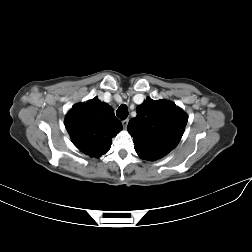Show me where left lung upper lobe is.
<instances>
[{
	"label": "left lung upper lobe",
	"instance_id": "obj_1",
	"mask_svg": "<svg viewBox=\"0 0 252 252\" xmlns=\"http://www.w3.org/2000/svg\"><path fill=\"white\" fill-rule=\"evenodd\" d=\"M137 116L127 126L140 158L154 161L174 149L187 124L184 111L168 100L147 98L137 106Z\"/></svg>",
	"mask_w": 252,
	"mask_h": 252
}]
</instances>
